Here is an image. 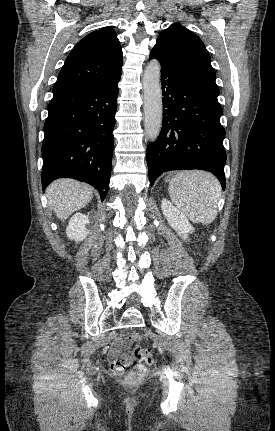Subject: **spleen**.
<instances>
[{"instance_id": "obj_1", "label": "spleen", "mask_w": 275, "mask_h": 431, "mask_svg": "<svg viewBox=\"0 0 275 431\" xmlns=\"http://www.w3.org/2000/svg\"><path fill=\"white\" fill-rule=\"evenodd\" d=\"M169 196L180 211L193 223L211 224L218 211L221 185L212 174L182 171L170 180Z\"/></svg>"}]
</instances>
